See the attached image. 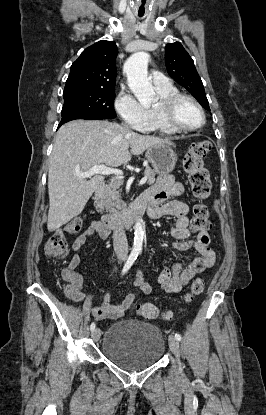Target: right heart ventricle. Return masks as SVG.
I'll return each instance as SVG.
<instances>
[{
	"instance_id": "e07e8e85",
	"label": "right heart ventricle",
	"mask_w": 266,
	"mask_h": 415,
	"mask_svg": "<svg viewBox=\"0 0 266 415\" xmlns=\"http://www.w3.org/2000/svg\"><path fill=\"white\" fill-rule=\"evenodd\" d=\"M155 88L159 94L160 97L166 96L171 93L178 92L177 88L173 86L171 83L165 84V85H155ZM149 111V121L146 126V130L148 131H154L159 132L161 134H172L175 131L167 127L162 120L160 119L158 112L155 108V105L152 106Z\"/></svg>"
}]
</instances>
